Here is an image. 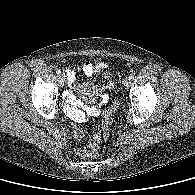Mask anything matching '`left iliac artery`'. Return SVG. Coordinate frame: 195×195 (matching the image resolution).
<instances>
[{"label":"left iliac artery","mask_w":195,"mask_h":195,"mask_svg":"<svg viewBox=\"0 0 195 195\" xmlns=\"http://www.w3.org/2000/svg\"><path fill=\"white\" fill-rule=\"evenodd\" d=\"M133 77H134V73H131V74L129 75V79L131 80V79H133Z\"/></svg>","instance_id":"left-iliac-artery-1"}]
</instances>
